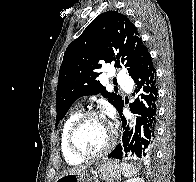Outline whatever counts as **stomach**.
Here are the masks:
<instances>
[{
	"label": "stomach",
	"mask_w": 196,
	"mask_h": 182,
	"mask_svg": "<svg viewBox=\"0 0 196 182\" xmlns=\"http://www.w3.org/2000/svg\"><path fill=\"white\" fill-rule=\"evenodd\" d=\"M96 173L107 182H113L121 177L119 165L112 160H101L96 164ZM55 182H91L90 175L86 172L80 174H63Z\"/></svg>",
	"instance_id": "obj_1"
}]
</instances>
